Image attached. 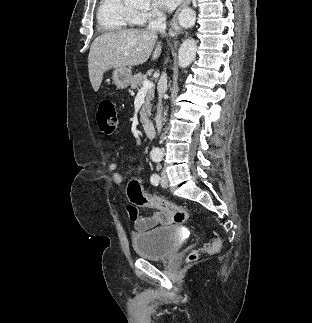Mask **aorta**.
Instances as JSON below:
<instances>
[{"mask_svg": "<svg viewBox=\"0 0 312 323\" xmlns=\"http://www.w3.org/2000/svg\"><path fill=\"white\" fill-rule=\"evenodd\" d=\"M197 44L193 38L182 42L178 52V64L180 68H187L196 58Z\"/></svg>", "mask_w": 312, "mask_h": 323, "instance_id": "1", "label": "aorta"}]
</instances>
